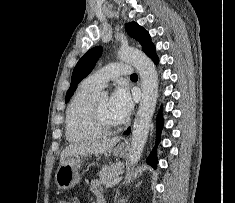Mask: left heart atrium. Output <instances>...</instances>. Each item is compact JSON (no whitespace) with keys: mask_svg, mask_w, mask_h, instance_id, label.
Segmentation results:
<instances>
[{"mask_svg":"<svg viewBox=\"0 0 235 203\" xmlns=\"http://www.w3.org/2000/svg\"><path fill=\"white\" fill-rule=\"evenodd\" d=\"M109 106L111 112L123 122L133 108V100L128 89L124 86L117 87L109 100Z\"/></svg>","mask_w":235,"mask_h":203,"instance_id":"left-heart-atrium-1","label":"left heart atrium"}]
</instances>
